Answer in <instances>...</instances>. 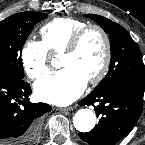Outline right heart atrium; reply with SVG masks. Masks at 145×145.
<instances>
[{
    "instance_id": "obj_1",
    "label": "right heart atrium",
    "mask_w": 145,
    "mask_h": 145,
    "mask_svg": "<svg viewBox=\"0 0 145 145\" xmlns=\"http://www.w3.org/2000/svg\"><path fill=\"white\" fill-rule=\"evenodd\" d=\"M21 61L31 79H39L50 71L48 52L42 42L27 41L21 50Z\"/></svg>"
}]
</instances>
